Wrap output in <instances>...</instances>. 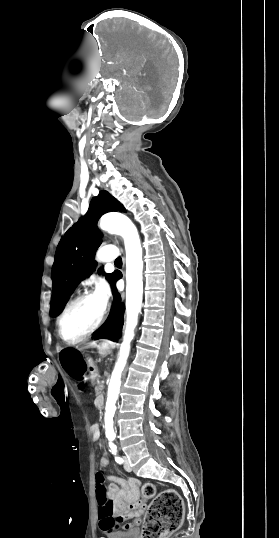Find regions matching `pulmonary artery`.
I'll return each mask as SVG.
<instances>
[{
    "mask_svg": "<svg viewBox=\"0 0 279 538\" xmlns=\"http://www.w3.org/2000/svg\"><path fill=\"white\" fill-rule=\"evenodd\" d=\"M110 260V258H103L102 261Z\"/></svg>",
    "mask_w": 279,
    "mask_h": 538,
    "instance_id": "e3ab8cb5",
    "label": "pulmonary artery"
}]
</instances>
